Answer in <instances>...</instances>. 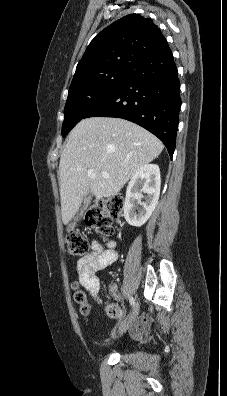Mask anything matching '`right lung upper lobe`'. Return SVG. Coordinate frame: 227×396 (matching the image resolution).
Here are the masks:
<instances>
[{
  "label": "right lung upper lobe",
  "mask_w": 227,
  "mask_h": 396,
  "mask_svg": "<svg viewBox=\"0 0 227 396\" xmlns=\"http://www.w3.org/2000/svg\"><path fill=\"white\" fill-rule=\"evenodd\" d=\"M167 45L161 30L150 18L129 14L91 41L77 65L71 86L106 70H133Z\"/></svg>",
  "instance_id": "1"
}]
</instances>
